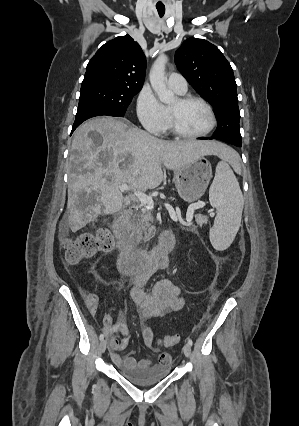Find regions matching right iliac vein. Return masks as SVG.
<instances>
[{
    "label": "right iliac vein",
    "instance_id": "obj_1",
    "mask_svg": "<svg viewBox=\"0 0 299 426\" xmlns=\"http://www.w3.org/2000/svg\"><path fill=\"white\" fill-rule=\"evenodd\" d=\"M106 346H107V341L106 340H102L101 341V343H100V346H99V348H100V351L103 353V352H105V350H106Z\"/></svg>",
    "mask_w": 299,
    "mask_h": 426
}]
</instances>
